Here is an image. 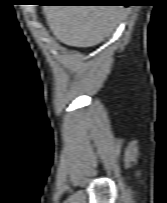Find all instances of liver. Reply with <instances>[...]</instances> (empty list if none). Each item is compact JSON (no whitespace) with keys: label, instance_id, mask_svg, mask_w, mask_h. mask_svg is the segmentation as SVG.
Listing matches in <instances>:
<instances>
[{"label":"liver","instance_id":"1","mask_svg":"<svg viewBox=\"0 0 167 203\" xmlns=\"http://www.w3.org/2000/svg\"><path fill=\"white\" fill-rule=\"evenodd\" d=\"M48 25L62 43L91 47L109 36L122 19V6L46 5Z\"/></svg>","mask_w":167,"mask_h":203}]
</instances>
